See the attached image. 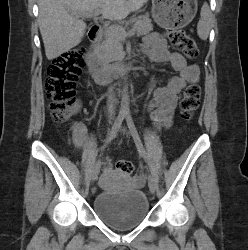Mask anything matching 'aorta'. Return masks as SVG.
Returning a JSON list of instances; mask_svg holds the SVG:
<instances>
[{
  "instance_id": "obj_1",
  "label": "aorta",
  "mask_w": 248,
  "mask_h": 250,
  "mask_svg": "<svg viewBox=\"0 0 248 250\" xmlns=\"http://www.w3.org/2000/svg\"><path fill=\"white\" fill-rule=\"evenodd\" d=\"M129 94H128V87L125 85L122 90V97H121V107L120 112L123 114H127L130 111V102H129Z\"/></svg>"
}]
</instances>
